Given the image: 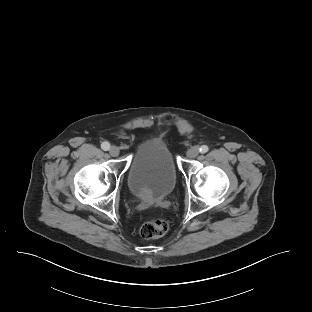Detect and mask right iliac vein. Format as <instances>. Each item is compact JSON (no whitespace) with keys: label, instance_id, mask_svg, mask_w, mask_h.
Wrapping results in <instances>:
<instances>
[{"label":"right iliac vein","instance_id":"obj_1","mask_svg":"<svg viewBox=\"0 0 312 312\" xmlns=\"http://www.w3.org/2000/svg\"><path fill=\"white\" fill-rule=\"evenodd\" d=\"M109 153L111 156L116 157L119 155L120 151H119V148L117 146H111L109 149Z\"/></svg>","mask_w":312,"mask_h":312}]
</instances>
